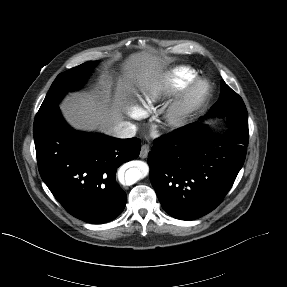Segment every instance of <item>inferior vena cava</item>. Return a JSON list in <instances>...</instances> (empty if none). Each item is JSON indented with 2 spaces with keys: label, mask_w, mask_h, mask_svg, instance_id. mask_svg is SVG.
Returning <instances> with one entry per match:
<instances>
[{
  "label": "inferior vena cava",
  "mask_w": 287,
  "mask_h": 287,
  "mask_svg": "<svg viewBox=\"0 0 287 287\" xmlns=\"http://www.w3.org/2000/svg\"><path fill=\"white\" fill-rule=\"evenodd\" d=\"M136 126L127 121L117 123L110 131V135L116 138H132L136 135Z\"/></svg>",
  "instance_id": "inferior-vena-cava-1"
}]
</instances>
